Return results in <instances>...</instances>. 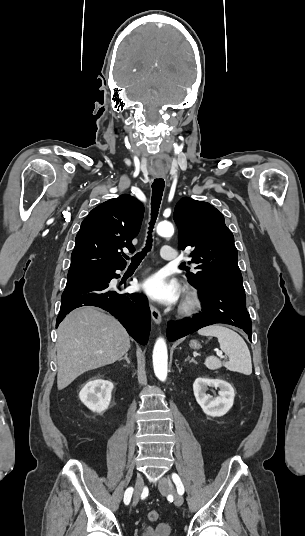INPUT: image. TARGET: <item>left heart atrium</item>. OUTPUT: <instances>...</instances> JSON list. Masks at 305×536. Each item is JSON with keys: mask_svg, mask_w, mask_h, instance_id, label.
<instances>
[{"mask_svg": "<svg viewBox=\"0 0 305 536\" xmlns=\"http://www.w3.org/2000/svg\"><path fill=\"white\" fill-rule=\"evenodd\" d=\"M140 287L146 295L157 301L173 302L178 298L176 286L166 283L159 274L146 279Z\"/></svg>", "mask_w": 305, "mask_h": 536, "instance_id": "obj_1", "label": "left heart atrium"}]
</instances>
